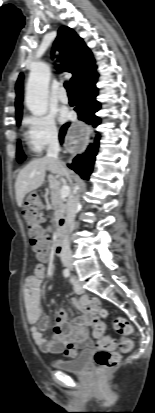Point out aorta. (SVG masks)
I'll return each instance as SVG.
<instances>
[{
    "mask_svg": "<svg viewBox=\"0 0 155 413\" xmlns=\"http://www.w3.org/2000/svg\"><path fill=\"white\" fill-rule=\"evenodd\" d=\"M49 66L40 63L29 74L25 102L28 110L35 116H42L48 107Z\"/></svg>",
    "mask_w": 155,
    "mask_h": 413,
    "instance_id": "762f6f07",
    "label": "aorta"
}]
</instances>
